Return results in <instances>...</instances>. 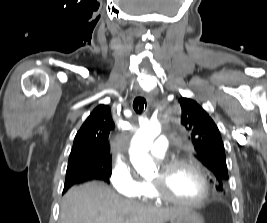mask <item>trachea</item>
<instances>
[{"instance_id":"obj_1","label":"trachea","mask_w":267,"mask_h":223,"mask_svg":"<svg viewBox=\"0 0 267 223\" xmlns=\"http://www.w3.org/2000/svg\"><path fill=\"white\" fill-rule=\"evenodd\" d=\"M144 106L146 107V100L143 97H136L133 101V108L137 113L143 111Z\"/></svg>"}]
</instances>
